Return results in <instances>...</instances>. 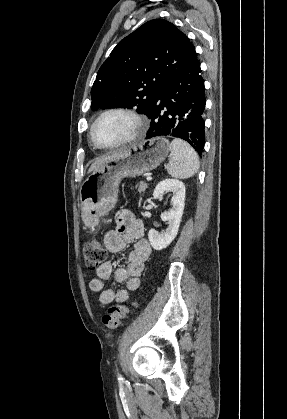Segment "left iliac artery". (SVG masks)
<instances>
[{
  "mask_svg": "<svg viewBox=\"0 0 287 419\" xmlns=\"http://www.w3.org/2000/svg\"><path fill=\"white\" fill-rule=\"evenodd\" d=\"M118 380H123L120 374H118Z\"/></svg>",
  "mask_w": 287,
  "mask_h": 419,
  "instance_id": "obj_1",
  "label": "left iliac artery"
}]
</instances>
